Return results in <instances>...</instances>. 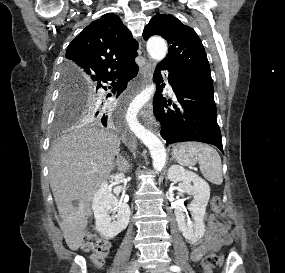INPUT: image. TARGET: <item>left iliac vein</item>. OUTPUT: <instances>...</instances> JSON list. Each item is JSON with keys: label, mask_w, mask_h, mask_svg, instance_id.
Wrapping results in <instances>:
<instances>
[{"label": "left iliac vein", "mask_w": 285, "mask_h": 273, "mask_svg": "<svg viewBox=\"0 0 285 273\" xmlns=\"http://www.w3.org/2000/svg\"><path fill=\"white\" fill-rule=\"evenodd\" d=\"M150 273H170L166 266H159L157 268L151 269Z\"/></svg>", "instance_id": "left-iliac-vein-1"}]
</instances>
